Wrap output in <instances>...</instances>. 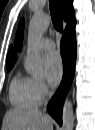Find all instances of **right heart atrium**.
<instances>
[{"label":"right heart atrium","mask_w":95,"mask_h":130,"mask_svg":"<svg viewBox=\"0 0 95 130\" xmlns=\"http://www.w3.org/2000/svg\"><path fill=\"white\" fill-rule=\"evenodd\" d=\"M34 88L39 100L44 99L48 94V87L46 83L41 79H33Z\"/></svg>","instance_id":"1"}]
</instances>
